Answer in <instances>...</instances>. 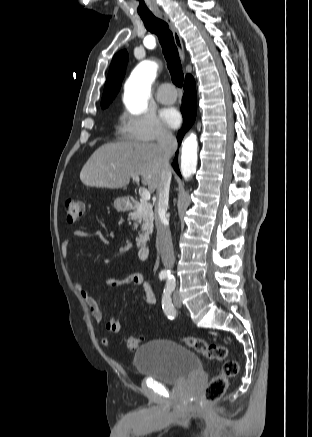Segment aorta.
Masks as SVG:
<instances>
[{"mask_svg": "<svg viewBox=\"0 0 312 437\" xmlns=\"http://www.w3.org/2000/svg\"><path fill=\"white\" fill-rule=\"evenodd\" d=\"M156 73L157 64L152 61H142L131 73L124 95V102L130 113L140 114L147 108V99ZM197 150V137L191 134L182 143L181 173L185 179H189L196 172Z\"/></svg>", "mask_w": 312, "mask_h": 437, "instance_id": "762f6f07", "label": "aorta"}]
</instances>
